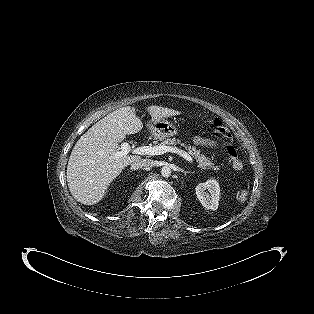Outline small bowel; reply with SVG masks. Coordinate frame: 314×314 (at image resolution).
<instances>
[{
    "label": "small bowel",
    "mask_w": 314,
    "mask_h": 314,
    "mask_svg": "<svg viewBox=\"0 0 314 314\" xmlns=\"http://www.w3.org/2000/svg\"><path fill=\"white\" fill-rule=\"evenodd\" d=\"M192 141L197 145L210 147V148L216 147L217 145L214 140L203 137V136H199V135L193 136Z\"/></svg>",
    "instance_id": "small-bowel-1"
}]
</instances>
